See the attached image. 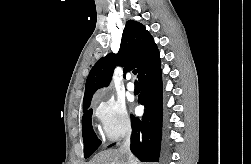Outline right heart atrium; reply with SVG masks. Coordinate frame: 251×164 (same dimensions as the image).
Segmentation results:
<instances>
[{
  "label": "right heart atrium",
  "mask_w": 251,
  "mask_h": 164,
  "mask_svg": "<svg viewBox=\"0 0 251 164\" xmlns=\"http://www.w3.org/2000/svg\"><path fill=\"white\" fill-rule=\"evenodd\" d=\"M95 117L103 137L114 142L129 133L131 121L125 104L113 96H107L95 108Z\"/></svg>",
  "instance_id": "1"
}]
</instances>
